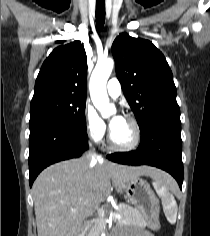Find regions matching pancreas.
Masks as SVG:
<instances>
[{
  "mask_svg": "<svg viewBox=\"0 0 210 236\" xmlns=\"http://www.w3.org/2000/svg\"><path fill=\"white\" fill-rule=\"evenodd\" d=\"M118 207L119 210L116 211V213L120 214L122 218L117 220V225L119 226L134 225L138 227H145L147 225L142 214L132 206L125 203H121L118 205ZM104 227H105V219L99 217L96 220L93 229L90 231L89 236H99V233L102 231Z\"/></svg>",
  "mask_w": 210,
  "mask_h": 236,
  "instance_id": "pancreas-1",
  "label": "pancreas"
}]
</instances>
